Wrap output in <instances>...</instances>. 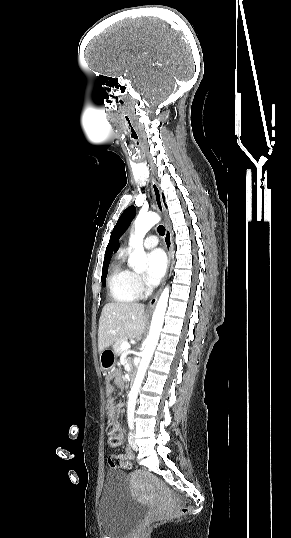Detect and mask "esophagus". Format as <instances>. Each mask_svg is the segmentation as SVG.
<instances>
[{"label":"esophagus","mask_w":291,"mask_h":538,"mask_svg":"<svg viewBox=\"0 0 291 538\" xmlns=\"http://www.w3.org/2000/svg\"><path fill=\"white\" fill-rule=\"evenodd\" d=\"M151 185H152V189H153V193H154V199H155V202H156L157 209L164 216V219H165L164 244H165L167 257H168V260H167V270H168L169 267H170V263H171V252H172L171 232H170V229L168 227V217H167V212H166L165 205H164V202H163L161 190H160V187H159L158 183L156 182V180L153 177H152V180H151ZM165 281H166V277L164 278V280L162 282V285L159 288V290L157 291V293L149 301L148 308L150 310H152L155 307V305L157 303V300H158V297H159V295H160V293H161V291H162V289H163V287L165 285Z\"/></svg>","instance_id":"1"}]
</instances>
